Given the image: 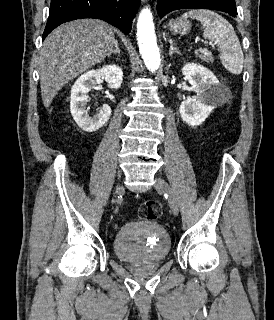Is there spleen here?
<instances>
[{
	"instance_id": "1",
	"label": "spleen",
	"mask_w": 274,
	"mask_h": 320,
	"mask_svg": "<svg viewBox=\"0 0 274 320\" xmlns=\"http://www.w3.org/2000/svg\"><path fill=\"white\" fill-rule=\"evenodd\" d=\"M182 18H192L199 20L203 28V38L215 42L220 48V60L222 66L230 72V74H241L244 64V56L240 42L234 32L233 26L211 10H190L185 12Z\"/></svg>"
}]
</instances>
